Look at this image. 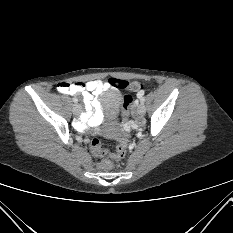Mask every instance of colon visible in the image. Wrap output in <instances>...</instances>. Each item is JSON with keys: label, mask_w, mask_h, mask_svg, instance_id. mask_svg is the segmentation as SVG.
Returning <instances> with one entry per match:
<instances>
[{"label": "colon", "mask_w": 233, "mask_h": 233, "mask_svg": "<svg viewBox=\"0 0 233 233\" xmlns=\"http://www.w3.org/2000/svg\"><path fill=\"white\" fill-rule=\"evenodd\" d=\"M110 85L126 90L129 93L139 92L142 86L137 82H128L121 79H110ZM133 98L131 94H126L123 98V134L119 140L115 153H109L101 147L100 140L94 138L90 143V150L93 156L97 158H105L101 163L103 169H108L111 166L112 161H119L123 159L126 155L129 138H130V106L132 104Z\"/></svg>", "instance_id": "obj_1"}]
</instances>
